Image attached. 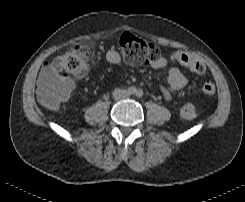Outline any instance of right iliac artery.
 Wrapping results in <instances>:
<instances>
[{
    "label": "right iliac artery",
    "instance_id": "right-iliac-artery-1",
    "mask_svg": "<svg viewBox=\"0 0 245 202\" xmlns=\"http://www.w3.org/2000/svg\"><path fill=\"white\" fill-rule=\"evenodd\" d=\"M136 92V88L135 87H129L128 88V93L129 94H134Z\"/></svg>",
    "mask_w": 245,
    "mask_h": 202
}]
</instances>
